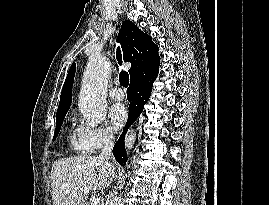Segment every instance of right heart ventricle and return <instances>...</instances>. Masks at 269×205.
I'll return each mask as SVG.
<instances>
[{"instance_id": "1", "label": "right heart ventricle", "mask_w": 269, "mask_h": 205, "mask_svg": "<svg viewBox=\"0 0 269 205\" xmlns=\"http://www.w3.org/2000/svg\"><path fill=\"white\" fill-rule=\"evenodd\" d=\"M70 145L72 147V149L77 152L78 154L81 155H87L89 154L91 151L84 145L82 144V142L79 139L78 136V131L75 130L71 133L70 135Z\"/></svg>"}]
</instances>
